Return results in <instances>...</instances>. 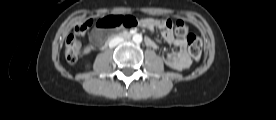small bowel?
<instances>
[{"mask_svg": "<svg viewBox=\"0 0 276 120\" xmlns=\"http://www.w3.org/2000/svg\"><path fill=\"white\" fill-rule=\"evenodd\" d=\"M141 26L151 30L153 29L162 30L161 35L165 39V41L170 45H175L180 48L179 51L169 53L168 55L165 56L164 61L167 66L176 70H183L190 67L191 59L186 52V46H187L186 40L177 38L174 35L171 29V26L167 25L166 20L145 18V19H142ZM99 34H100V31L98 30H94L90 34V40L93 46L95 47L101 44V40L98 38ZM146 39H149V38H146ZM149 40H150V43L146 45L151 48H157L156 43L152 39H149Z\"/></svg>", "mask_w": 276, "mask_h": 120, "instance_id": "c3829d8e", "label": "small bowel"}]
</instances>
